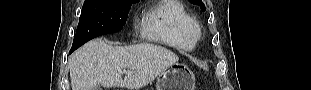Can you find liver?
<instances>
[{
  "label": "liver",
  "mask_w": 311,
  "mask_h": 90,
  "mask_svg": "<svg viewBox=\"0 0 311 90\" xmlns=\"http://www.w3.org/2000/svg\"><path fill=\"white\" fill-rule=\"evenodd\" d=\"M178 59L169 49L150 43L121 47L92 40L69 58L71 88L96 90L102 85L139 90ZM123 70L129 71L124 80Z\"/></svg>",
  "instance_id": "6515ba94"
}]
</instances>
